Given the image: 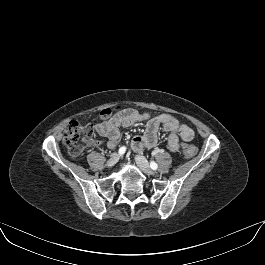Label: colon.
<instances>
[{
    "mask_svg": "<svg viewBox=\"0 0 265 265\" xmlns=\"http://www.w3.org/2000/svg\"><path fill=\"white\" fill-rule=\"evenodd\" d=\"M112 109L107 108L100 112L102 118L112 114ZM96 139V129L92 125H84L80 121H72L66 129L63 137V145L69 155L73 158H80L86 147L93 144ZM182 153L186 158L196 155L197 149L192 145H183Z\"/></svg>",
    "mask_w": 265,
    "mask_h": 265,
    "instance_id": "5ec220e1",
    "label": "colon"
}]
</instances>
